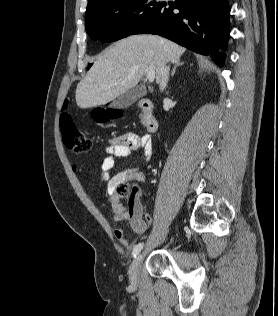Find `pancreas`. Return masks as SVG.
<instances>
[{"mask_svg":"<svg viewBox=\"0 0 278 316\" xmlns=\"http://www.w3.org/2000/svg\"><path fill=\"white\" fill-rule=\"evenodd\" d=\"M140 118H141V122H142V123H146V119H145V116H144V115L141 114V115H140Z\"/></svg>","mask_w":278,"mask_h":316,"instance_id":"1","label":"pancreas"}]
</instances>
